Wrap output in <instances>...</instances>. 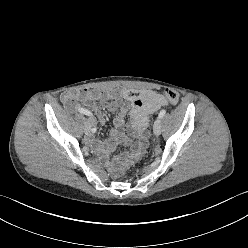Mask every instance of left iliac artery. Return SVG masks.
Segmentation results:
<instances>
[{"label":"left iliac artery","instance_id":"obj_1","mask_svg":"<svg viewBox=\"0 0 248 248\" xmlns=\"http://www.w3.org/2000/svg\"><path fill=\"white\" fill-rule=\"evenodd\" d=\"M165 114H166V110H164V109L161 110L159 115H158V118H160V119L163 118Z\"/></svg>","mask_w":248,"mask_h":248}]
</instances>
